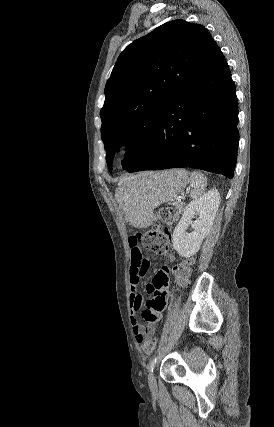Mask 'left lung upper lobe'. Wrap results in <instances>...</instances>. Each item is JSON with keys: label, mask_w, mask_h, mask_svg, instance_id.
Here are the masks:
<instances>
[{"label": "left lung upper lobe", "mask_w": 274, "mask_h": 427, "mask_svg": "<svg viewBox=\"0 0 274 427\" xmlns=\"http://www.w3.org/2000/svg\"><path fill=\"white\" fill-rule=\"evenodd\" d=\"M214 40L204 26L167 22L135 40L119 55L105 87L100 112L106 162L125 142L126 170L149 147L185 80L198 68Z\"/></svg>", "instance_id": "1"}]
</instances>
